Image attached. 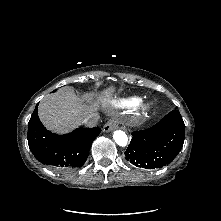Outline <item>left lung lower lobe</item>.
Returning a JSON list of instances; mask_svg holds the SVG:
<instances>
[{"instance_id": "1", "label": "left lung lower lobe", "mask_w": 221, "mask_h": 221, "mask_svg": "<svg viewBox=\"0 0 221 221\" xmlns=\"http://www.w3.org/2000/svg\"><path fill=\"white\" fill-rule=\"evenodd\" d=\"M125 151L128 161L146 169L161 168L169 164L184 143L185 124L177 110L171 111L156 125L132 133Z\"/></svg>"}]
</instances>
